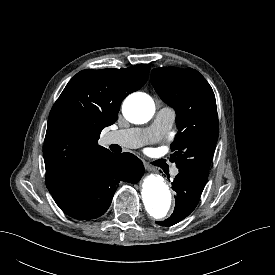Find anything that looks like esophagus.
Segmentation results:
<instances>
[{
    "mask_svg": "<svg viewBox=\"0 0 275 275\" xmlns=\"http://www.w3.org/2000/svg\"><path fill=\"white\" fill-rule=\"evenodd\" d=\"M145 168H146V170H148V171H155V168L152 167V166L149 165V164H145Z\"/></svg>",
    "mask_w": 275,
    "mask_h": 275,
    "instance_id": "1",
    "label": "esophagus"
}]
</instances>
